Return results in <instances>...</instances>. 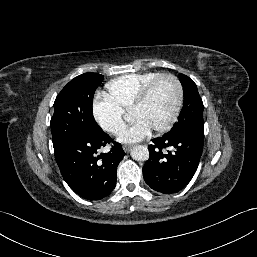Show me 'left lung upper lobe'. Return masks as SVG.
Wrapping results in <instances>:
<instances>
[{"label": "left lung upper lobe", "mask_w": 257, "mask_h": 257, "mask_svg": "<svg viewBox=\"0 0 257 257\" xmlns=\"http://www.w3.org/2000/svg\"><path fill=\"white\" fill-rule=\"evenodd\" d=\"M179 80L183 86L184 104L177 123L167 135H176L190 130L204 132L203 102L197 86L192 79L184 74L179 75Z\"/></svg>", "instance_id": "obj_1"}]
</instances>
